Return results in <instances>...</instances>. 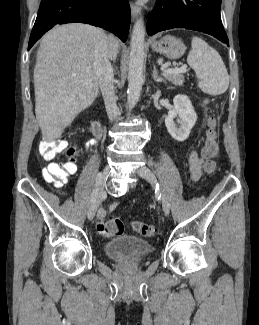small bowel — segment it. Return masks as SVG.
Masks as SVG:
<instances>
[{
	"label": "small bowel",
	"instance_id": "c3829d8e",
	"mask_svg": "<svg viewBox=\"0 0 259 325\" xmlns=\"http://www.w3.org/2000/svg\"><path fill=\"white\" fill-rule=\"evenodd\" d=\"M94 144H95V140H90L88 142V146H91ZM188 163H189V173H190L192 180H194V181L198 180L202 174V169H203L204 163H205L204 159L200 158L195 151H192L189 155ZM47 167H45L43 169V171H42L43 174ZM114 206H115V204L112 205V207H114ZM105 215H106V212L104 209H100L97 213L96 228L99 231V233H101V234H106Z\"/></svg>",
	"mask_w": 259,
	"mask_h": 325
}]
</instances>
